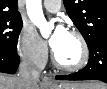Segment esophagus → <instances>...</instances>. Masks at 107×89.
<instances>
[{"label":"esophagus","mask_w":107,"mask_h":89,"mask_svg":"<svg viewBox=\"0 0 107 89\" xmlns=\"http://www.w3.org/2000/svg\"><path fill=\"white\" fill-rule=\"evenodd\" d=\"M42 84L43 85H52V84H54V82H53V80L50 77L44 76L42 78Z\"/></svg>","instance_id":"34e87169"}]
</instances>
